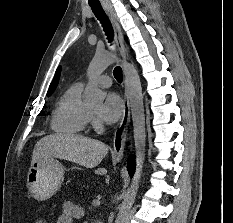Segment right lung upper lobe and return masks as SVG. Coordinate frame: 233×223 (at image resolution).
Here are the masks:
<instances>
[{"instance_id": "obj_1", "label": "right lung upper lobe", "mask_w": 233, "mask_h": 223, "mask_svg": "<svg viewBox=\"0 0 233 223\" xmlns=\"http://www.w3.org/2000/svg\"><path fill=\"white\" fill-rule=\"evenodd\" d=\"M59 76H60V67L57 69V71L55 73V77H54L52 83L50 84V87H49V90H48V93H47L48 96L50 94H52L53 90L56 88Z\"/></svg>"}]
</instances>
